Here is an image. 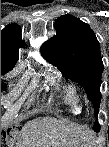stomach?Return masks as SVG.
<instances>
[{
  "mask_svg": "<svg viewBox=\"0 0 109 147\" xmlns=\"http://www.w3.org/2000/svg\"><path fill=\"white\" fill-rule=\"evenodd\" d=\"M89 145H90V143L85 141V142H82L79 147H90Z\"/></svg>",
  "mask_w": 109,
  "mask_h": 147,
  "instance_id": "1",
  "label": "stomach"
}]
</instances>
